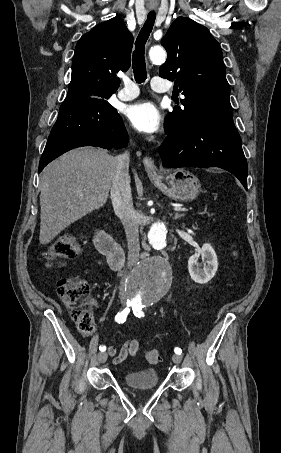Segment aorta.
<instances>
[{"label": "aorta", "mask_w": 281, "mask_h": 453, "mask_svg": "<svg viewBox=\"0 0 281 453\" xmlns=\"http://www.w3.org/2000/svg\"><path fill=\"white\" fill-rule=\"evenodd\" d=\"M150 60L162 64L166 52L161 47L149 51ZM150 244L162 249L168 244L167 230L163 223H154L148 232ZM172 282V271L167 261L159 257H150L137 265L127 280V291L135 304H150L160 300L169 290Z\"/></svg>", "instance_id": "aorta-1"}]
</instances>
